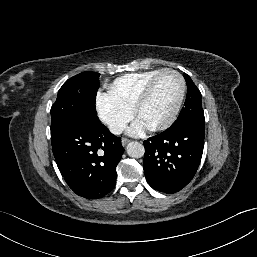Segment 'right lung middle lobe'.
<instances>
[{
  "label": "right lung middle lobe",
  "instance_id": "dd1d6c3e",
  "mask_svg": "<svg viewBox=\"0 0 257 257\" xmlns=\"http://www.w3.org/2000/svg\"><path fill=\"white\" fill-rule=\"evenodd\" d=\"M99 76L96 72H82L62 85L50 111L51 134L72 123L101 124L95 107Z\"/></svg>",
  "mask_w": 257,
  "mask_h": 257
}]
</instances>
